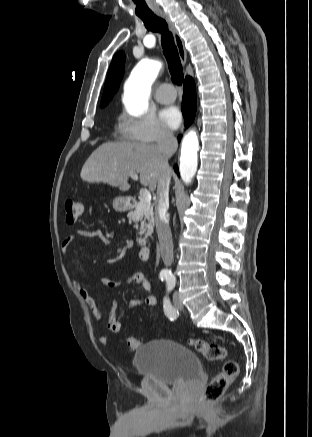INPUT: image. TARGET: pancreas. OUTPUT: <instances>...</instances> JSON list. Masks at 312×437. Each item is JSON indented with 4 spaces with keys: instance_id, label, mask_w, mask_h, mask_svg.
Segmentation results:
<instances>
[{
    "instance_id": "1",
    "label": "pancreas",
    "mask_w": 312,
    "mask_h": 437,
    "mask_svg": "<svg viewBox=\"0 0 312 437\" xmlns=\"http://www.w3.org/2000/svg\"><path fill=\"white\" fill-rule=\"evenodd\" d=\"M127 217L129 218V220H133L135 222L136 228L138 227V223L140 222V235L142 236L143 234H145V237L137 238V242L139 245H145L146 239L153 233V206L144 200H140L135 205V210L130 211Z\"/></svg>"
}]
</instances>
